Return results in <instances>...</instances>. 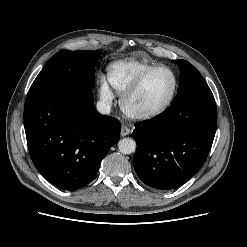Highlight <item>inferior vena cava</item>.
I'll return each mask as SVG.
<instances>
[{
	"label": "inferior vena cava",
	"instance_id": "602c4592",
	"mask_svg": "<svg viewBox=\"0 0 247 247\" xmlns=\"http://www.w3.org/2000/svg\"><path fill=\"white\" fill-rule=\"evenodd\" d=\"M96 109L99 113L107 115L110 113L111 105L108 102L100 100L97 102Z\"/></svg>",
	"mask_w": 247,
	"mask_h": 247
}]
</instances>
